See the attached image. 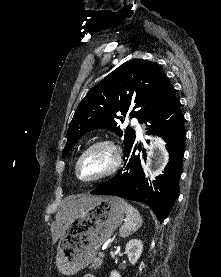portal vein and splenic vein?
<instances>
[{"instance_id":"obj_1","label":"portal vein and splenic vein","mask_w":221,"mask_h":277,"mask_svg":"<svg viewBox=\"0 0 221 277\" xmlns=\"http://www.w3.org/2000/svg\"><path fill=\"white\" fill-rule=\"evenodd\" d=\"M99 255H101L103 257L104 256V252H100Z\"/></svg>"}]
</instances>
